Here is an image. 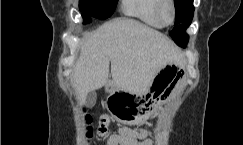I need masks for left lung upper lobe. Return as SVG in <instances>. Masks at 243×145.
Returning a JSON list of instances; mask_svg holds the SVG:
<instances>
[{
    "mask_svg": "<svg viewBox=\"0 0 243 145\" xmlns=\"http://www.w3.org/2000/svg\"><path fill=\"white\" fill-rule=\"evenodd\" d=\"M175 9H176V19L175 24H178L170 32L173 40L178 44L185 43L188 41L189 37L186 34L185 30L190 25L193 13L194 6L193 0H174Z\"/></svg>",
    "mask_w": 243,
    "mask_h": 145,
    "instance_id": "5c2ea615",
    "label": "left lung upper lobe"
}]
</instances>
